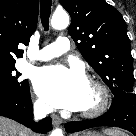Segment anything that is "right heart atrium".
I'll use <instances>...</instances> for the list:
<instances>
[{"mask_svg": "<svg viewBox=\"0 0 136 136\" xmlns=\"http://www.w3.org/2000/svg\"><path fill=\"white\" fill-rule=\"evenodd\" d=\"M35 109L40 112L47 111V106L45 103H43L41 100H36L34 103Z\"/></svg>", "mask_w": 136, "mask_h": 136, "instance_id": "d8ad5b80", "label": "right heart atrium"}]
</instances>
